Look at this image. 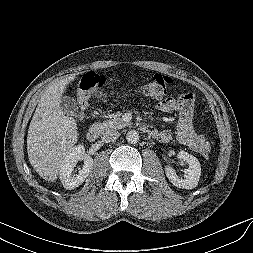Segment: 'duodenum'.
<instances>
[{"mask_svg": "<svg viewBox=\"0 0 253 253\" xmlns=\"http://www.w3.org/2000/svg\"><path fill=\"white\" fill-rule=\"evenodd\" d=\"M143 130L146 133H150L151 129L149 126L144 125ZM99 134H100V129L97 125L93 124L89 127L88 131H87V139L89 141H96L99 138Z\"/></svg>", "mask_w": 253, "mask_h": 253, "instance_id": "obj_1", "label": "duodenum"}]
</instances>
